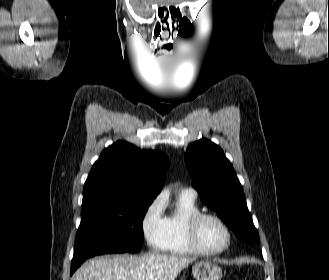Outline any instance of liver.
Segmentation results:
<instances>
[{
    "label": "liver",
    "instance_id": "6515ba94",
    "mask_svg": "<svg viewBox=\"0 0 329 280\" xmlns=\"http://www.w3.org/2000/svg\"><path fill=\"white\" fill-rule=\"evenodd\" d=\"M193 261L190 257L154 253L98 257L85 262L73 280H175Z\"/></svg>",
    "mask_w": 329,
    "mask_h": 280
}]
</instances>
